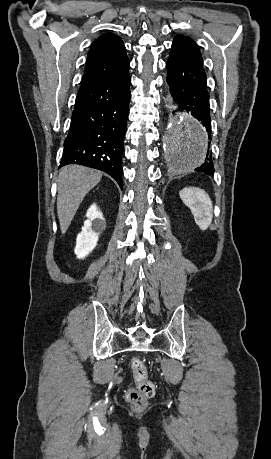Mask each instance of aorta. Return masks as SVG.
<instances>
[{
    "mask_svg": "<svg viewBox=\"0 0 271 459\" xmlns=\"http://www.w3.org/2000/svg\"><path fill=\"white\" fill-rule=\"evenodd\" d=\"M163 148L170 171L190 172L205 160L207 135L194 120L170 121Z\"/></svg>",
    "mask_w": 271,
    "mask_h": 459,
    "instance_id": "obj_1",
    "label": "aorta"
}]
</instances>
